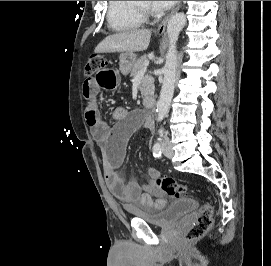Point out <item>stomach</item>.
<instances>
[{
    "instance_id": "stomach-1",
    "label": "stomach",
    "mask_w": 271,
    "mask_h": 266,
    "mask_svg": "<svg viewBox=\"0 0 271 266\" xmlns=\"http://www.w3.org/2000/svg\"><path fill=\"white\" fill-rule=\"evenodd\" d=\"M136 62V55L133 52H122L119 56V66L122 74L127 75Z\"/></svg>"
}]
</instances>
